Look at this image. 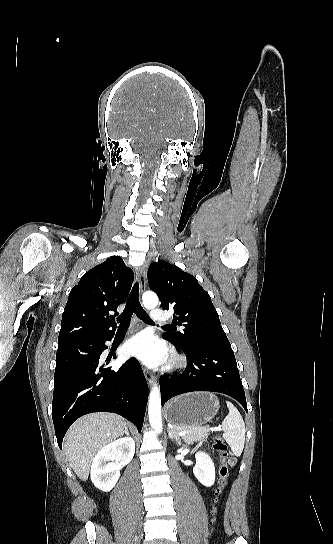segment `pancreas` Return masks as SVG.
<instances>
[{
	"instance_id": "1",
	"label": "pancreas",
	"mask_w": 333,
	"mask_h": 544,
	"mask_svg": "<svg viewBox=\"0 0 333 544\" xmlns=\"http://www.w3.org/2000/svg\"><path fill=\"white\" fill-rule=\"evenodd\" d=\"M170 431H173V432H180V431H185L186 432V435L183 436V439L185 441H200V440H204V439H207L208 437V431L198 425V426H193V427H179V426H173L172 428L169 429Z\"/></svg>"
}]
</instances>
